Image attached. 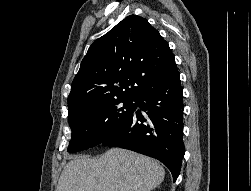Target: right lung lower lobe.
I'll return each instance as SVG.
<instances>
[{
	"label": "right lung lower lobe",
	"instance_id": "98d812e1",
	"mask_svg": "<svg viewBox=\"0 0 251 191\" xmlns=\"http://www.w3.org/2000/svg\"><path fill=\"white\" fill-rule=\"evenodd\" d=\"M182 92L179 73L164 84L146 90L134 100L136 107L145 113L135 108L100 144L156 158L169 168L176 181L185 153Z\"/></svg>",
	"mask_w": 251,
	"mask_h": 191
}]
</instances>
